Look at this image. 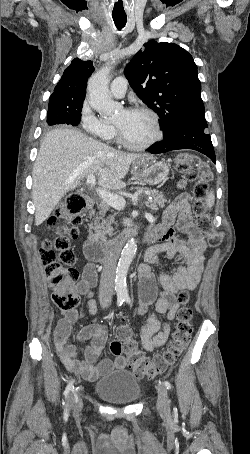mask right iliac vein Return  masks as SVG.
<instances>
[{"label": "right iliac vein", "instance_id": "63e3f726", "mask_svg": "<svg viewBox=\"0 0 250 454\" xmlns=\"http://www.w3.org/2000/svg\"><path fill=\"white\" fill-rule=\"evenodd\" d=\"M68 404L71 408L74 407V410L75 411H80L82 409V406H83V402H82V399L80 397V394H79V390L76 389L70 396H69V399H68Z\"/></svg>", "mask_w": 250, "mask_h": 454}]
</instances>
